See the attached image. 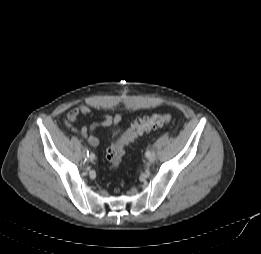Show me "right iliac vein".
<instances>
[{
  "label": "right iliac vein",
  "instance_id": "63e3f726",
  "mask_svg": "<svg viewBox=\"0 0 261 254\" xmlns=\"http://www.w3.org/2000/svg\"><path fill=\"white\" fill-rule=\"evenodd\" d=\"M83 156H84V157L86 156L85 150L83 151Z\"/></svg>",
  "mask_w": 261,
  "mask_h": 254
}]
</instances>
